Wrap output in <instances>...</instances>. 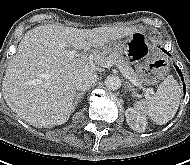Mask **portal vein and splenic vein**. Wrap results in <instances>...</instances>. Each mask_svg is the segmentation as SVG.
<instances>
[{
  "instance_id": "obj_1",
  "label": "portal vein and splenic vein",
  "mask_w": 190,
  "mask_h": 165,
  "mask_svg": "<svg viewBox=\"0 0 190 165\" xmlns=\"http://www.w3.org/2000/svg\"><path fill=\"white\" fill-rule=\"evenodd\" d=\"M67 56L70 59H73L75 56H77V51L76 50H69L67 52ZM82 58H84L85 60H87L89 63L93 64V60L92 58H88L85 55H82ZM113 65H116L118 67V69L120 70V72L127 78L129 79V81L135 85V86H139V83L137 82V80L135 78H133L128 72H126L123 68H121L120 66H118L116 63L114 62H107L106 64H104V67L109 68Z\"/></svg>"
}]
</instances>
